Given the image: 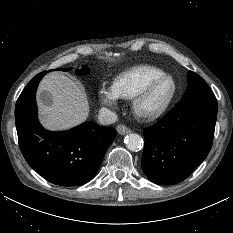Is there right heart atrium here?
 I'll return each instance as SVG.
<instances>
[{
  "mask_svg": "<svg viewBox=\"0 0 233 233\" xmlns=\"http://www.w3.org/2000/svg\"><path fill=\"white\" fill-rule=\"evenodd\" d=\"M99 101L108 107L116 108L119 103V95L115 91L113 86L101 85L98 90Z\"/></svg>",
  "mask_w": 233,
  "mask_h": 233,
  "instance_id": "right-heart-atrium-1",
  "label": "right heart atrium"
}]
</instances>
